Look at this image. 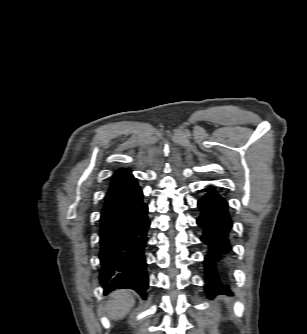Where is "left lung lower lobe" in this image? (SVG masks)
<instances>
[{
    "mask_svg": "<svg viewBox=\"0 0 307 334\" xmlns=\"http://www.w3.org/2000/svg\"><path fill=\"white\" fill-rule=\"evenodd\" d=\"M208 193L198 201L201 216L197 224L204 229L201 241L209 251L205 256V291L212 298L217 294H231L229 288L220 280L217 263L231 252L229 236L232 220L228 213V203L209 187Z\"/></svg>",
    "mask_w": 307,
    "mask_h": 334,
    "instance_id": "0a47b994",
    "label": "left lung lower lobe"
}]
</instances>
